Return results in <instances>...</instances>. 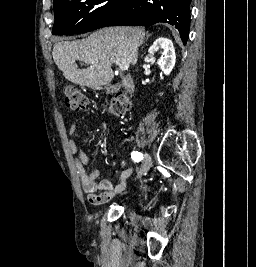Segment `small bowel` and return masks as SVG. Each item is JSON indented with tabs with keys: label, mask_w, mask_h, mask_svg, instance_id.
Masks as SVG:
<instances>
[{
	"label": "small bowel",
	"mask_w": 256,
	"mask_h": 267,
	"mask_svg": "<svg viewBox=\"0 0 256 267\" xmlns=\"http://www.w3.org/2000/svg\"><path fill=\"white\" fill-rule=\"evenodd\" d=\"M77 128L76 122L70 125L69 133L71 136L76 135ZM68 146L70 151L78 157L75 161V169L80 179L82 189L87 194L91 204H103L109 201L116 193L124 189L126 180L134 171L132 167L122 171L117 182H112L107 179L98 181V171L93 170L88 172L84 167L85 164L91 163V159L83 152L82 148L73 139L69 140ZM114 152L117 153L118 149L116 148Z\"/></svg>",
	"instance_id": "small-bowel-1"
}]
</instances>
